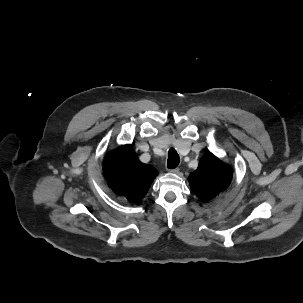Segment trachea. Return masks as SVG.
<instances>
[{
    "mask_svg": "<svg viewBox=\"0 0 303 303\" xmlns=\"http://www.w3.org/2000/svg\"><path fill=\"white\" fill-rule=\"evenodd\" d=\"M168 154H169V157H168V161H167V167L169 169H174L178 166V164L180 162L179 155L174 148H171L169 150Z\"/></svg>",
    "mask_w": 303,
    "mask_h": 303,
    "instance_id": "1",
    "label": "trachea"
}]
</instances>
